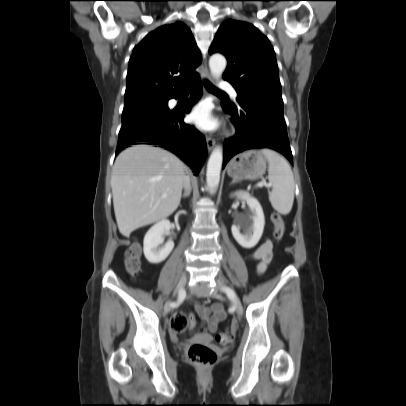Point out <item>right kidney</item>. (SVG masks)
I'll return each mask as SVG.
<instances>
[{
	"mask_svg": "<svg viewBox=\"0 0 406 406\" xmlns=\"http://www.w3.org/2000/svg\"><path fill=\"white\" fill-rule=\"evenodd\" d=\"M171 224L168 220H162L152 226L144 237V255L146 259L153 264L164 261L174 248V242L168 241L161 246L164 238L163 235L169 231Z\"/></svg>",
	"mask_w": 406,
	"mask_h": 406,
	"instance_id": "ca27d5eb",
	"label": "right kidney"
}]
</instances>
